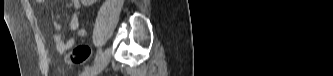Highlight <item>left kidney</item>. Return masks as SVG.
Returning a JSON list of instances; mask_svg holds the SVG:
<instances>
[{
  "label": "left kidney",
  "instance_id": "obj_1",
  "mask_svg": "<svg viewBox=\"0 0 333 76\" xmlns=\"http://www.w3.org/2000/svg\"><path fill=\"white\" fill-rule=\"evenodd\" d=\"M82 2H84V1H82ZM91 2H94V0H91Z\"/></svg>",
  "mask_w": 333,
  "mask_h": 76
}]
</instances>
